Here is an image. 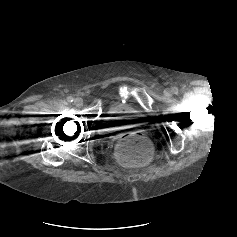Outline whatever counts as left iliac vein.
I'll return each mask as SVG.
<instances>
[{
    "mask_svg": "<svg viewBox=\"0 0 237 237\" xmlns=\"http://www.w3.org/2000/svg\"><path fill=\"white\" fill-rule=\"evenodd\" d=\"M164 94H165V96L170 97V96L172 95V90L166 89V90L164 91Z\"/></svg>",
    "mask_w": 237,
    "mask_h": 237,
    "instance_id": "left-iliac-vein-1",
    "label": "left iliac vein"
}]
</instances>
